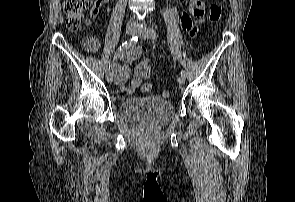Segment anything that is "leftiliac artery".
Wrapping results in <instances>:
<instances>
[{"instance_id": "left-iliac-artery-1", "label": "left iliac artery", "mask_w": 295, "mask_h": 202, "mask_svg": "<svg viewBox=\"0 0 295 202\" xmlns=\"http://www.w3.org/2000/svg\"><path fill=\"white\" fill-rule=\"evenodd\" d=\"M149 35H150V37H151L153 40H156V38H157V34H156V32H155L154 29H152V28L149 29ZM181 76L186 77V71H185V70H182V71H181Z\"/></svg>"}]
</instances>
